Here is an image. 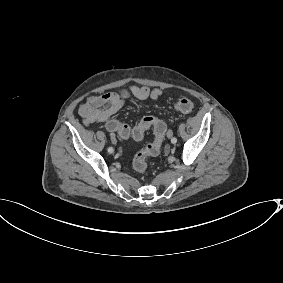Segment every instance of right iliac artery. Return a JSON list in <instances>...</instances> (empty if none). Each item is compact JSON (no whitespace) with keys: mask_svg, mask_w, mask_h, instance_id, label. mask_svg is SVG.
I'll list each match as a JSON object with an SVG mask.
<instances>
[{"mask_svg":"<svg viewBox=\"0 0 283 283\" xmlns=\"http://www.w3.org/2000/svg\"><path fill=\"white\" fill-rule=\"evenodd\" d=\"M113 151H114V150H113L112 147H109V148H108V152H109V153H113Z\"/></svg>","mask_w":283,"mask_h":283,"instance_id":"right-iliac-artery-1","label":"right iliac artery"}]
</instances>
